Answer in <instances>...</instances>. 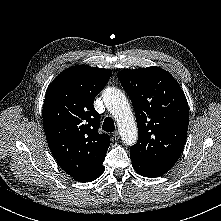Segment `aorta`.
<instances>
[{
    "label": "aorta",
    "instance_id": "762f6f07",
    "mask_svg": "<svg viewBox=\"0 0 221 221\" xmlns=\"http://www.w3.org/2000/svg\"><path fill=\"white\" fill-rule=\"evenodd\" d=\"M103 101L117 122L123 142L126 145L135 144L138 139V130L126 96L121 90L108 87L103 93Z\"/></svg>",
    "mask_w": 221,
    "mask_h": 221
}]
</instances>
